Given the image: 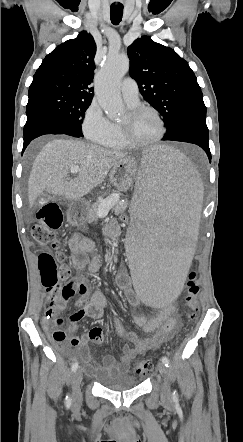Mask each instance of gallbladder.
Masks as SVG:
<instances>
[{
  "label": "gallbladder",
  "mask_w": 243,
  "mask_h": 442,
  "mask_svg": "<svg viewBox=\"0 0 243 442\" xmlns=\"http://www.w3.org/2000/svg\"><path fill=\"white\" fill-rule=\"evenodd\" d=\"M48 199H55V200L58 201L59 196L56 193H46V192H43L35 200V207H37V208L41 207L42 205H44V203H47Z\"/></svg>",
  "instance_id": "gallbladder-1"
}]
</instances>
